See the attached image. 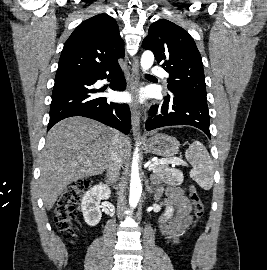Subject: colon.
Returning a JSON list of instances; mask_svg holds the SVG:
<instances>
[{"instance_id":"1","label":"colon","mask_w":267,"mask_h":270,"mask_svg":"<svg viewBox=\"0 0 267 270\" xmlns=\"http://www.w3.org/2000/svg\"><path fill=\"white\" fill-rule=\"evenodd\" d=\"M87 179H81L68 186L56 202L54 220L57 229L67 240L75 237L76 221L78 219L77 204L89 187ZM190 198L193 204L194 215L199 220L205 212V204L196 186L189 187Z\"/></svg>"}]
</instances>
